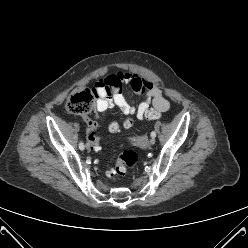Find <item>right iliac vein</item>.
<instances>
[{"label": "right iliac vein", "mask_w": 248, "mask_h": 248, "mask_svg": "<svg viewBox=\"0 0 248 248\" xmlns=\"http://www.w3.org/2000/svg\"><path fill=\"white\" fill-rule=\"evenodd\" d=\"M86 149H87V150H90V146H89L88 143L86 144Z\"/></svg>", "instance_id": "right-iliac-vein-1"}]
</instances>
